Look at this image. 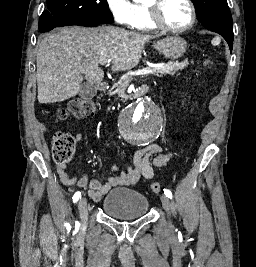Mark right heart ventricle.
<instances>
[{
  "label": "right heart ventricle",
  "instance_id": "1",
  "mask_svg": "<svg viewBox=\"0 0 256 267\" xmlns=\"http://www.w3.org/2000/svg\"><path fill=\"white\" fill-rule=\"evenodd\" d=\"M136 7L140 11L143 18H145L148 11V0H136Z\"/></svg>",
  "mask_w": 256,
  "mask_h": 267
}]
</instances>
